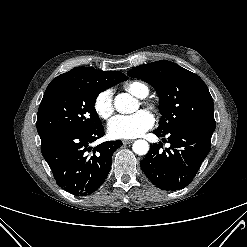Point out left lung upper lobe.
Instances as JSON below:
<instances>
[{
  "instance_id": "left-lung-upper-lobe-1",
  "label": "left lung upper lobe",
  "mask_w": 247,
  "mask_h": 247,
  "mask_svg": "<svg viewBox=\"0 0 247 247\" xmlns=\"http://www.w3.org/2000/svg\"><path fill=\"white\" fill-rule=\"evenodd\" d=\"M128 75L149 83L158 93L162 117L156 131L187 126L213 134V100L198 75L167 60L140 65L128 71Z\"/></svg>"
}]
</instances>
